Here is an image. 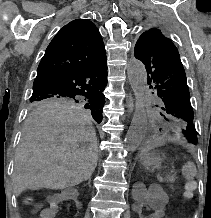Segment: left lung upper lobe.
<instances>
[{
	"mask_svg": "<svg viewBox=\"0 0 211 218\" xmlns=\"http://www.w3.org/2000/svg\"><path fill=\"white\" fill-rule=\"evenodd\" d=\"M134 56L145 65L147 84L159 97L154 109L168 132L190 145L197 144L186 74L173 42L152 28L140 36Z\"/></svg>",
	"mask_w": 211,
	"mask_h": 218,
	"instance_id": "obj_1",
	"label": "left lung upper lobe"
}]
</instances>
